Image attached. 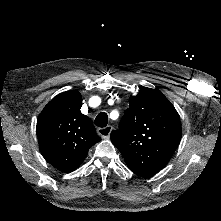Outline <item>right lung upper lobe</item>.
I'll return each mask as SVG.
<instances>
[{
    "mask_svg": "<svg viewBox=\"0 0 221 221\" xmlns=\"http://www.w3.org/2000/svg\"><path fill=\"white\" fill-rule=\"evenodd\" d=\"M78 91L57 95L42 110L37 136L43 157L62 172L78 168L91 146L101 140L89 117L81 113Z\"/></svg>",
    "mask_w": 221,
    "mask_h": 221,
    "instance_id": "1",
    "label": "right lung upper lobe"
}]
</instances>
